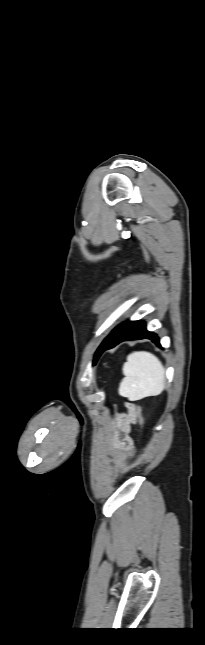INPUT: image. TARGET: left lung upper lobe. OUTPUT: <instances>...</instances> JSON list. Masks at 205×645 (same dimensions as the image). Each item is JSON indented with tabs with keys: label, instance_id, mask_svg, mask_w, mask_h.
I'll return each mask as SVG.
<instances>
[{
	"label": "left lung upper lobe",
	"instance_id": "5c2ea615",
	"mask_svg": "<svg viewBox=\"0 0 205 645\" xmlns=\"http://www.w3.org/2000/svg\"><path fill=\"white\" fill-rule=\"evenodd\" d=\"M97 354H98V350H97V352H96L95 358H96Z\"/></svg>",
	"mask_w": 205,
	"mask_h": 645
}]
</instances>
